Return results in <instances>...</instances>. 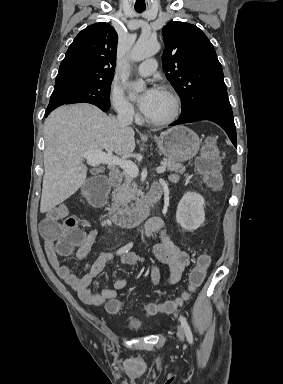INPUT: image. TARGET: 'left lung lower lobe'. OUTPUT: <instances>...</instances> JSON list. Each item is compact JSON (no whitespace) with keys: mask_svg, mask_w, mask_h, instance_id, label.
<instances>
[{"mask_svg":"<svg viewBox=\"0 0 283 384\" xmlns=\"http://www.w3.org/2000/svg\"><path fill=\"white\" fill-rule=\"evenodd\" d=\"M201 120H210L221 126L228 134L233 145L237 147L236 129L233 120V113L231 107H216L207 108L197 111L191 115L180 117L171 126L196 122Z\"/></svg>","mask_w":283,"mask_h":384,"instance_id":"0a47b994","label":"left lung lower lobe"}]
</instances>
